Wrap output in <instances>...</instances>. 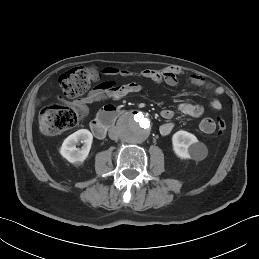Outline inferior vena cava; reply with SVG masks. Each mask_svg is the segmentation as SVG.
Listing matches in <instances>:
<instances>
[{
    "mask_svg": "<svg viewBox=\"0 0 259 259\" xmlns=\"http://www.w3.org/2000/svg\"><path fill=\"white\" fill-rule=\"evenodd\" d=\"M118 131L117 129L115 128H112L109 130V137L112 139V140H117L118 139Z\"/></svg>",
    "mask_w": 259,
    "mask_h": 259,
    "instance_id": "602c4592",
    "label": "inferior vena cava"
}]
</instances>
